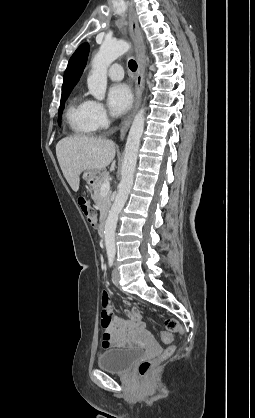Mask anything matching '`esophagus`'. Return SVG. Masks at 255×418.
I'll return each mask as SVG.
<instances>
[{
    "mask_svg": "<svg viewBox=\"0 0 255 418\" xmlns=\"http://www.w3.org/2000/svg\"><path fill=\"white\" fill-rule=\"evenodd\" d=\"M129 26H130V35L132 38V41L134 43V49L136 53V59L138 64V69L136 72V78H135V101L133 108L127 118L125 119L121 129H120V140H123L125 138V135L131 125V122L133 120V117L135 113L137 112L141 99L142 94L144 90V72H145V47L143 43V39L141 36V32L139 29L138 20L136 17V14L134 12V9L130 7L129 9Z\"/></svg>",
    "mask_w": 255,
    "mask_h": 418,
    "instance_id": "34e87169",
    "label": "esophagus"
}]
</instances>
